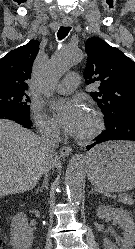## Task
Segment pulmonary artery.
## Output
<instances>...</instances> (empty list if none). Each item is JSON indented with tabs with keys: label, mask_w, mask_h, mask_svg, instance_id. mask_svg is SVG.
Segmentation results:
<instances>
[{
	"label": "pulmonary artery",
	"mask_w": 135,
	"mask_h": 249,
	"mask_svg": "<svg viewBox=\"0 0 135 249\" xmlns=\"http://www.w3.org/2000/svg\"><path fill=\"white\" fill-rule=\"evenodd\" d=\"M80 84V76L77 73L68 74L65 79L55 86V90L61 94L72 93Z\"/></svg>",
	"instance_id": "e3ab8cb5"
}]
</instances>
